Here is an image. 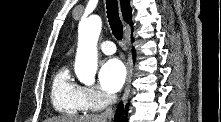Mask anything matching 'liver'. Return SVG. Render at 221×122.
I'll return each instance as SVG.
<instances>
[{
  "mask_svg": "<svg viewBox=\"0 0 221 122\" xmlns=\"http://www.w3.org/2000/svg\"><path fill=\"white\" fill-rule=\"evenodd\" d=\"M44 122H107V119L101 115L91 114L81 117L48 118Z\"/></svg>",
  "mask_w": 221,
  "mask_h": 122,
  "instance_id": "6515ba94",
  "label": "liver"
}]
</instances>
